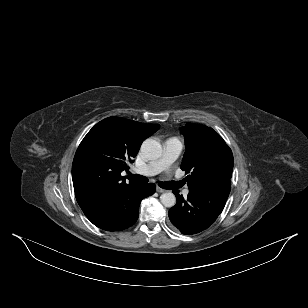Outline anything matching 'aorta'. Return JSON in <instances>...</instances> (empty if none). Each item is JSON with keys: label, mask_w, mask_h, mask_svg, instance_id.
Returning <instances> with one entry per match:
<instances>
[{"label": "aorta", "mask_w": 308, "mask_h": 308, "mask_svg": "<svg viewBox=\"0 0 308 308\" xmlns=\"http://www.w3.org/2000/svg\"><path fill=\"white\" fill-rule=\"evenodd\" d=\"M141 151L147 159L156 160L162 155V146L157 140L148 138L142 143ZM160 201L165 207H173L176 197L172 192H165L160 196Z\"/></svg>", "instance_id": "obj_1"}]
</instances>
